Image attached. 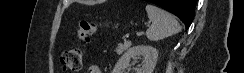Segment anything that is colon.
Here are the masks:
<instances>
[{"label": "colon", "instance_id": "1", "mask_svg": "<svg viewBox=\"0 0 244 73\" xmlns=\"http://www.w3.org/2000/svg\"><path fill=\"white\" fill-rule=\"evenodd\" d=\"M97 31V25L93 21L83 20L77 29L78 38L88 41ZM62 66L71 73H79L83 66V49L79 46L67 48L61 55Z\"/></svg>", "mask_w": 244, "mask_h": 73}]
</instances>
